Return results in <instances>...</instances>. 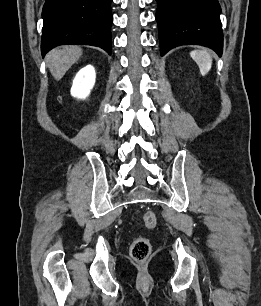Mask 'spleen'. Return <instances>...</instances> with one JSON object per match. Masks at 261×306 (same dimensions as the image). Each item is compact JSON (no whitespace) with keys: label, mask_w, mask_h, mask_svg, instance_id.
Returning a JSON list of instances; mask_svg holds the SVG:
<instances>
[{"label":"spleen","mask_w":261,"mask_h":306,"mask_svg":"<svg viewBox=\"0 0 261 306\" xmlns=\"http://www.w3.org/2000/svg\"><path fill=\"white\" fill-rule=\"evenodd\" d=\"M191 57L197 63L203 76L207 75L212 67L211 54L206 50H194L190 53Z\"/></svg>","instance_id":"obj_1"}]
</instances>
